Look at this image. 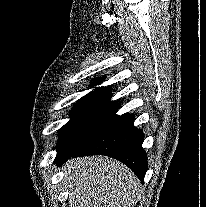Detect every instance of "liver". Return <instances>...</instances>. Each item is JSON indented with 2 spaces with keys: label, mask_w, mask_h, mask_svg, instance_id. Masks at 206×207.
Listing matches in <instances>:
<instances>
[{
  "label": "liver",
  "mask_w": 206,
  "mask_h": 207,
  "mask_svg": "<svg viewBox=\"0 0 206 207\" xmlns=\"http://www.w3.org/2000/svg\"><path fill=\"white\" fill-rule=\"evenodd\" d=\"M62 170L70 207H133L140 198L136 175L112 158L71 159Z\"/></svg>",
  "instance_id": "obj_1"
}]
</instances>
